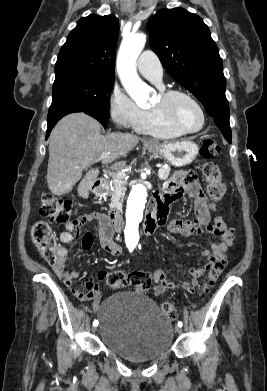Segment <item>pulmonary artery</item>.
Masks as SVG:
<instances>
[{"label": "pulmonary artery", "instance_id": "pulmonary-artery-1", "mask_svg": "<svg viewBox=\"0 0 267 391\" xmlns=\"http://www.w3.org/2000/svg\"><path fill=\"white\" fill-rule=\"evenodd\" d=\"M137 68L145 78L162 87L163 68L159 58L153 51L146 50L141 53L137 61Z\"/></svg>", "mask_w": 267, "mask_h": 391}]
</instances>
